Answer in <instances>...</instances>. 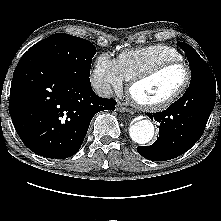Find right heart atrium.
<instances>
[{"label": "right heart atrium", "instance_id": "obj_1", "mask_svg": "<svg viewBox=\"0 0 221 221\" xmlns=\"http://www.w3.org/2000/svg\"><path fill=\"white\" fill-rule=\"evenodd\" d=\"M90 80L93 86L104 93L110 91L120 92L124 82L117 60L111 58L107 53H102L96 58Z\"/></svg>", "mask_w": 221, "mask_h": 221}]
</instances>
